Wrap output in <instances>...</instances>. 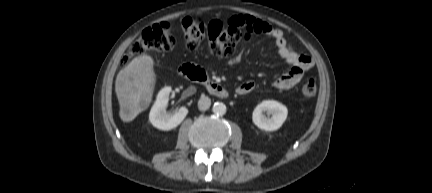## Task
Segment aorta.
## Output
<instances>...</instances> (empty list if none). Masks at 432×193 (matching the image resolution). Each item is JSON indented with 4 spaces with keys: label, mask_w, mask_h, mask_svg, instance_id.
<instances>
[{
    "label": "aorta",
    "mask_w": 432,
    "mask_h": 193,
    "mask_svg": "<svg viewBox=\"0 0 432 193\" xmlns=\"http://www.w3.org/2000/svg\"><path fill=\"white\" fill-rule=\"evenodd\" d=\"M212 110L216 115L222 116L226 113V105L222 102H215Z\"/></svg>",
    "instance_id": "obj_1"
}]
</instances>
